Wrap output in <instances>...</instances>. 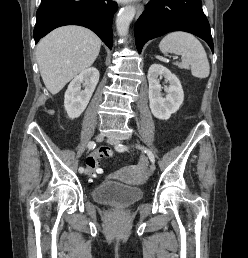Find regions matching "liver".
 <instances>
[{
	"instance_id": "1",
	"label": "liver",
	"mask_w": 248,
	"mask_h": 258,
	"mask_svg": "<svg viewBox=\"0 0 248 258\" xmlns=\"http://www.w3.org/2000/svg\"><path fill=\"white\" fill-rule=\"evenodd\" d=\"M99 37L87 28L64 26L55 29L37 44L36 59L46 88L53 95L96 60Z\"/></svg>"
}]
</instances>
